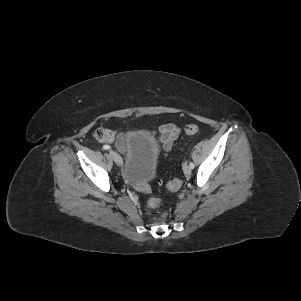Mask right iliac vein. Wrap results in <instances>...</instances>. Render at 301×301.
I'll return each instance as SVG.
<instances>
[{
    "label": "right iliac vein",
    "mask_w": 301,
    "mask_h": 301,
    "mask_svg": "<svg viewBox=\"0 0 301 301\" xmlns=\"http://www.w3.org/2000/svg\"><path fill=\"white\" fill-rule=\"evenodd\" d=\"M109 154L110 156L112 157V159L114 160V162L118 165V166H122L123 164V161H122V158L121 156L116 152V151H113V150H110L109 151Z\"/></svg>",
    "instance_id": "obj_1"
}]
</instances>
